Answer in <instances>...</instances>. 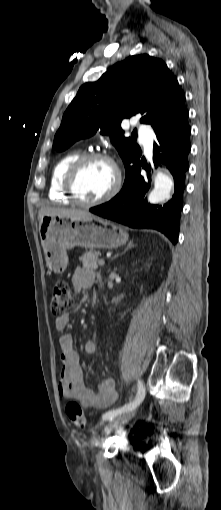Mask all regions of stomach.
Segmentation results:
<instances>
[{
    "label": "stomach",
    "mask_w": 221,
    "mask_h": 510,
    "mask_svg": "<svg viewBox=\"0 0 221 510\" xmlns=\"http://www.w3.org/2000/svg\"><path fill=\"white\" fill-rule=\"evenodd\" d=\"M39 234L48 268L63 272L68 265L67 250L112 249L125 244L128 233L120 226L98 217L72 219L45 215L39 223Z\"/></svg>",
    "instance_id": "obj_1"
}]
</instances>
